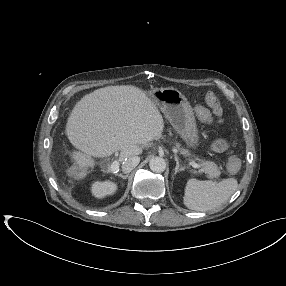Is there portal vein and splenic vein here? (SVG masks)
Returning <instances> with one entry per match:
<instances>
[{"instance_id":"1","label":"portal vein and splenic vein","mask_w":286,"mask_h":286,"mask_svg":"<svg viewBox=\"0 0 286 286\" xmlns=\"http://www.w3.org/2000/svg\"><path fill=\"white\" fill-rule=\"evenodd\" d=\"M189 164L193 167V168H197L199 169L201 167V165L195 163L194 161H189ZM111 171L113 173H116L118 172L119 170V162L118 161H114L112 164H111Z\"/></svg>"}]
</instances>
